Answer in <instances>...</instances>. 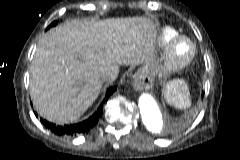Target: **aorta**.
Segmentation results:
<instances>
[{"label": "aorta", "mask_w": 240, "mask_h": 160, "mask_svg": "<svg viewBox=\"0 0 240 160\" xmlns=\"http://www.w3.org/2000/svg\"><path fill=\"white\" fill-rule=\"evenodd\" d=\"M139 108L143 124L146 128L154 133L159 132L162 128L163 119L161 110L155 99L148 94H142L139 97Z\"/></svg>", "instance_id": "obj_1"}]
</instances>
